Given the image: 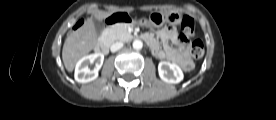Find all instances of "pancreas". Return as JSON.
<instances>
[{
	"mask_svg": "<svg viewBox=\"0 0 276 120\" xmlns=\"http://www.w3.org/2000/svg\"><path fill=\"white\" fill-rule=\"evenodd\" d=\"M105 39L109 43L115 41H126L131 35L128 32V26L125 24H116L105 30Z\"/></svg>",
	"mask_w": 276,
	"mask_h": 120,
	"instance_id": "cf45deb5",
	"label": "pancreas"
}]
</instances>
